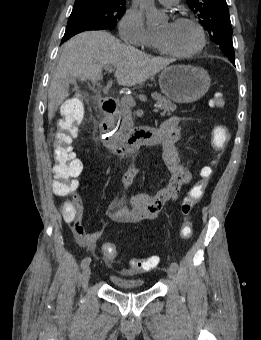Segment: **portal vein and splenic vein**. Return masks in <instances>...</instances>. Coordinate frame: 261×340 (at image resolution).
<instances>
[{"label":"portal vein and splenic vein","mask_w":261,"mask_h":340,"mask_svg":"<svg viewBox=\"0 0 261 340\" xmlns=\"http://www.w3.org/2000/svg\"><path fill=\"white\" fill-rule=\"evenodd\" d=\"M105 70H106V71H111V70H112V66L106 65V66H105ZM123 100H124V102H125L128 106H130V107L136 106V101H135V99H134L132 96H130V95H125V96L123 97ZM159 108H160V105H154L153 112H155V113L159 112Z\"/></svg>","instance_id":"obj_1"}]
</instances>
